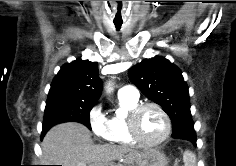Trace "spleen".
Wrapping results in <instances>:
<instances>
[{"label":"spleen","instance_id":"obj_1","mask_svg":"<svg viewBox=\"0 0 236 166\" xmlns=\"http://www.w3.org/2000/svg\"><path fill=\"white\" fill-rule=\"evenodd\" d=\"M183 161L184 166H196V155L193 152L186 150L183 154Z\"/></svg>","mask_w":236,"mask_h":166}]
</instances>
